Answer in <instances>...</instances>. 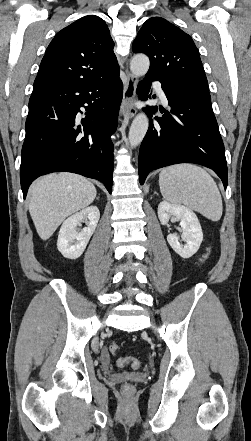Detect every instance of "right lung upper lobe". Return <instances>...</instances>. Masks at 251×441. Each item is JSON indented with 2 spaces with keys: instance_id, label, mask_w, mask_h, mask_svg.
<instances>
[{
  "instance_id": "cb5924a9",
  "label": "right lung upper lobe",
  "mask_w": 251,
  "mask_h": 441,
  "mask_svg": "<svg viewBox=\"0 0 251 441\" xmlns=\"http://www.w3.org/2000/svg\"><path fill=\"white\" fill-rule=\"evenodd\" d=\"M105 21L85 16L59 31L41 61L33 91L89 83L118 70Z\"/></svg>"
}]
</instances>
